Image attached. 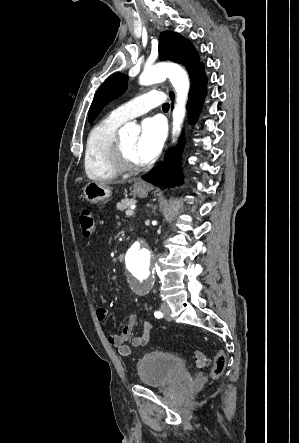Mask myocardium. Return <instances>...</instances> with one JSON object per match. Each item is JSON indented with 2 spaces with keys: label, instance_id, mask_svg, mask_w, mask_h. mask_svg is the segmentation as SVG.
I'll return each mask as SVG.
<instances>
[{
  "label": "myocardium",
  "instance_id": "obj_1",
  "mask_svg": "<svg viewBox=\"0 0 299 443\" xmlns=\"http://www.w3.org/2000/svg\"><path fill=\"white\" fill-rule=\"evenodd\" d=\"M110 159L113 167L119 173H134L141 170L144 166L143 164L132 163L128 159L120 139H117L116 143L114 144L110 153Z\"/></svg>",
  "mask_w": 299,
  "mask_h": 443
}]
</instances>
